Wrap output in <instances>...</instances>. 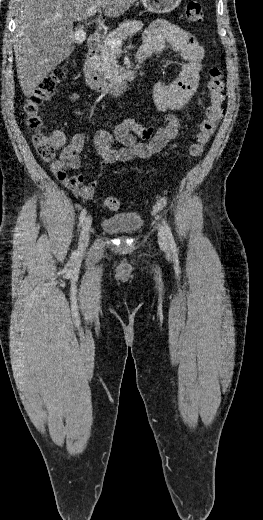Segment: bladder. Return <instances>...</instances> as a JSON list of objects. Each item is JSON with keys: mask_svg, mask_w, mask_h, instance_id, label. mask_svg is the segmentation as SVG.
Segmentation results:
<instances>
[{"mask_svg": "<svg viewBox=\"0 0 263 520\" xmlns=\"http://www.w3.org/2000/svg\"><path fill=\"white\" fill-rule=\"evenodd\" d=\"M143 226L141 215L134 212L120 213L104 218L101 222V228L111 234H133L139 231Z\"/></svg>", "mask_w": 263, "mask_h": 520, "instance_id": "obj_1", "label": "bladder"}]
</instances>
